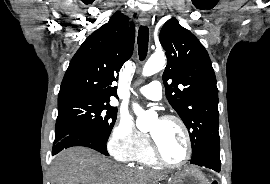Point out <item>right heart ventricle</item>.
<instances>
[{"instance_id":"1","label":"right heart ventricle","mask_w":270,"mask_h":184,"mask_svg":"<svg viewBox=\"0 0 270 184\" xmlns=\"http://www.w3.org/2000/svg\"><path fill=\"white\" fill-rule=\"evenodd\" d=\"M134 161L145 166H152L157 164L149 144L139 153Z\"/></svg>"}]
</instances>
